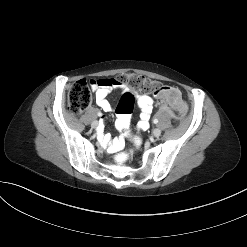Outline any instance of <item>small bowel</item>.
<instances>
[{
	"label": "small bowel",
	"mask_w": 247,
	"mask_h": 247,
	"mask_svg": "<svg viewBox=\"0 0 247 247\" xmlns=\"http://www.w3.org/2000/svg\"><path fill=\"white\" fill-rule=\"evenodd\" d=\"M93 89L95 91L97 105L106 112L112 110V106L107 99L109 93L115 89L121 91L127 90L125 85L118 83L115 79L96 80ZM137 105L141 110L138 128L140 130H146L149 128V120L153 111V99L147 94H140L137 98ZM101 140L103 144L107 145L111 150H117L122 146V141L119 139L111 141L110 138L102 136Z\"/></svg>",
	"instance_id": "small-bowel-1"
}]
</instances>
